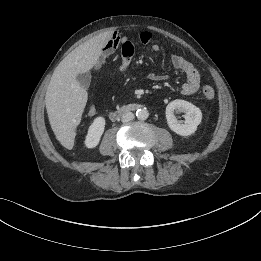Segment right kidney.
Here are the masks:
<instances>
[{"instance_id":"right-kidney-1","label":"right kidney","mask_w":261,"mask_h":261,"mask_svg":"<svg viewBox=\"0 0 261 261\" xmlns=\"http://www.w3.org/2000/svg\"><path fill=\"white\" fill-rule=\"evenodd\" d=\"M105 129V118L102 116L96 117L91 123L88 129L87 136L85 138V146L87 148H95Z\"/></svg>"}]
</instances>
